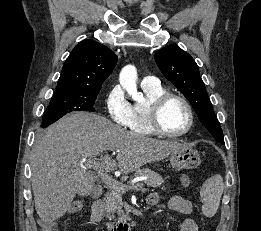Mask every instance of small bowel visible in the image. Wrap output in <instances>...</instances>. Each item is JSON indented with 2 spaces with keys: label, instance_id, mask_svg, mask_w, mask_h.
<instances>
[{
  "label": "small bowel",
  "instance_id": "1",
  "mask_svg": "<svg viewBox=\"0 0 261 231\" xmlns=\"http://www.w3.org/2000/svg\"><path fill=\"white\" fill-rule=\"evenodd\" d=\"M181 184L184 188H188L190 186V179L187 175H182L180 177ZM161 200V197L157 193H153L147 196L146 202L150 206L157 205ZM168 207L176 211L186 218L184 219L180 231H200L198 224L195 219L192 217L193 209L192 204L189 200L181 197V196H172L168 202Z\"/></svg>",
  "mask_w": 261,
  "mask_h": 231
}]
</instances>
